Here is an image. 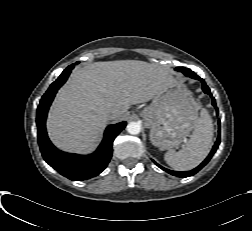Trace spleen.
I'll return each instance as SVG.
<instances>
[{
	"label": "spleen",
	"instance_id": "1",
	"mask_svg": "<svg viewBox=\"0 0 252 231\" xmlns=\"http://www.w3.org/2000/svg\"><path fill=\"white\" fill-rule=\"evenodd\" d=\"M213 139V123L206 109L197 118L189 141L178 152L172 149L165 154L166 163L177 171H188L198 166L208 155Z\"/></svg>",
	"mask_w": 252,
	"mask_h": 231
}]
</instances>
